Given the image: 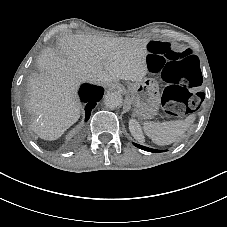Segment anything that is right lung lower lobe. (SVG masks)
Wrapping results in <instances>:
<instances>
[{"label":"right lung lower lobe","mask_w":227,"mask_h":227,"mask_svg":"<svg viewBox=\"0 0 227 227\" xmlns=\"http://www.w3.org/2000/svg\"><path fill=\"white\" fill-rule=\"evenodd\" d=\"M103 89L98 86L83 84L80 88V97L83 102L86 103L85 113H86V121L90 117L91 110L96 106V103L103 96Z\"/></svg>","instance_id":"right-lung-lower-lobe-1"}]
</instances>
